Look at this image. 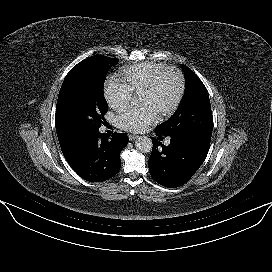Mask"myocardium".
<instances>
[{"label": "myocardium", "instance_id": "f54148a6", "mask_svg": "<svg viewBox=\"0 0 272 272\" xmlns=\"http://www.w3.org/2000/svg\"><path fill=\"white\" fill-rule=\"evenodd\" d=\"M168 72H174L175 74H177V76L179 78V91H178V95H177L174 103L171 105V107L160 114V116L163 118H167V117L172 116L178 110L179 106L182 103V100L185 95V90H186V81H185V76H184L183 72L178 67L165 66L140 91V94H141V93H147V92L154 90L158 86V84L160 83L162 77Z\"/></svg>", "mask_w": 272, "mask_h": 272}]
</instances>
